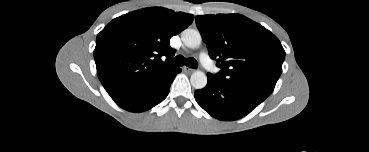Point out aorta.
I'll return each mask as SVG.
<instances>
[{"mask_svg":"<svg viewBox=\"0 0 369 152\" xmlns=\"http://www.w3.org/2000/svg\"><path fill=\"white\" fill-rule=\"evenodd\" d=\"M182 41L189 48H198L201 45L202 37L199 31L186 29L182 32ZM191 85L195 89H203L207 85V76L202 71H195L190 77Z\"/></svg>","mask_w":369,"mask_h":152,"instance_id":"obj_1","label":"aorta"}]
</instances>
